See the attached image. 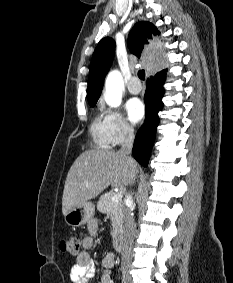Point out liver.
I'll use <instances>...</instances> for the list:
<instances>
[{"label": "liver", "mask_w": 233, "mask_h": 283, "mask_svg": "<svg viewBox=\"0 0 233 283\" xmlns=\"http://www.w3.org/2000/svg\"><path fill=\"white\" fill-rule=\"evenodd\" d=\"M137 171L136 161L111 150H86L72 164L65 181L62 213L97 197L108 186L129 185Z\"/></svg>", "instance_id": "1"}]
</instances>
